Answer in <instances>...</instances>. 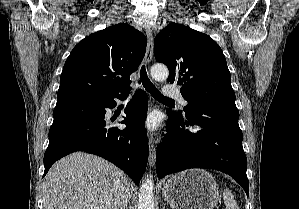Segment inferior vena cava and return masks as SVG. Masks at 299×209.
Listing matches in <instances>:
<instances>
[{"mask_svg":"<svg viewBox=\"0 0 299 209\" xmlns=\"http://www.w3.org/2000/svg\"><path fill=\"white\" fill-rule=\"evenodd\" d=\"M127 199H128V193L127 192H125V195H124V197H123V199H122V202H121V207H120V209H123L122 207H124V209H125V206H126V204H127Z\"/></svg>","mask_w":299,"mask_h":209,"instance_id":"obj_1","label":"inferior vena cava"}]
</instances>
